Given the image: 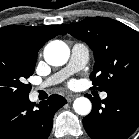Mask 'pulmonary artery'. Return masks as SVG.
Listing matches in <instances>:
<instances>
[{
    "label": "pulmonary artery",
    "mask_w": 139,
    "mask_h": 139,
    "mask_svg": "<svg viewBox=\"0 0 139 139\" xmlns=\"http://www.w3.org/2000/svg\"><path fill=\"white\" fill-rule=\"evenodd\" d=\"M89 59L88 47L83 43H75L71 50V57L67 66L61 71L49 77L40 88L59 83L67 78L69 75L81 70ZM101 98H107V93L102 92Z\"/></svg>",
    "instance_id": "e3ab8cb5"
}]
</instances>
